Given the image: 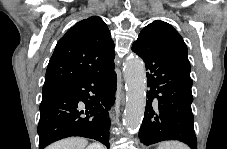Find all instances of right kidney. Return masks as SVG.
Returning <instances> with one entry per match:
<instances>
[{
  "label": "right kidney",
  "mask_w": 227,
  "mask_h": 149,
  "mask_svg": "<svg viewBox=\"0 0 227 149\" xmlns=\"http://www.w3.org/2000/svg\"><path fill=\"white\" fill-rule=\"evenodd\" d=\"M86 149H100L98 144H90Z\"/></svg>",
  "instance_id": "right-kidney-1"
}]
</instances>
